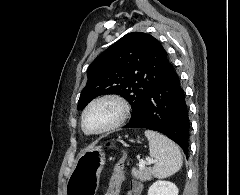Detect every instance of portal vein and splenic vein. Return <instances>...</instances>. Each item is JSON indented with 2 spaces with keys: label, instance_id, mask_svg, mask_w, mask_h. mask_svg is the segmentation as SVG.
Masks as SVG:
<instances>
[{
  "label": "portal vein and splenic vein",
  "instance_id": "portal-vein-and-splenic-vein-1",
  "mask_svg": "<svg viewBox=\"0 0 240 195\" xmlns=\"http://www.w3.org/2000/svg\"><path fill=\"white\" fill-rule=\"evenodd\" d=\"M156 159H139V167L140 169H143L145 165H150V163H154Z\"/></svg>",
  "mask_w": 240,
  "mask_h": 195
}]
</instances>
